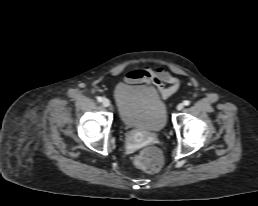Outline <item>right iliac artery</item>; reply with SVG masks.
<instances>
[{
    "instance_id": "1",
    "label": "right iliac artery",
    "mask_w": 258,
    "mask_h": 206,
    "mask_svg": "<svg viewBox=\"0 0 258 206\" xmlns=\"http://www.w3.org/2000/svg\"><path fill=\"white\" fill-rule=\"evenodd\" d=\"M102 100H103L102 97H100V96L97 97V101H98V102H101Z\"/></svg>"
}]
</instances>
